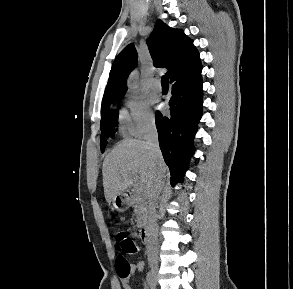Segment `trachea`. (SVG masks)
<instances>
[{
  "label": "trachea",
  "mask_w": 293,
  "mask_h": 289,
  "mask_svg": "<svg viewBox=\"0 0 293 289\" xmlns=\"http://www.w3.org/2000/svg\"><path fill=\"white\" fill-rule=\"evenodd\" d=\"M161 83H162L163 87H168V78H167V76H165V75L162 76Z\"/></svg>",
  "instance_id": "obj_1"
}]
</instances>
